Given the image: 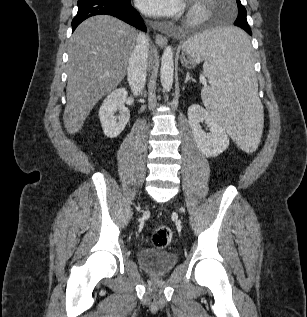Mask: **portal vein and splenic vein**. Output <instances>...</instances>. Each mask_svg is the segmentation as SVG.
Returning a JSON list of instances; mask_svg holds the SVG:
<instances>
[{
	"mask_svg": "<svg viewBox=\"0 0 307 317\" xmlns=\"http://www.w3.org/2000/svg\"><path fill=\"white\" fill-rule=\"evenodd\" d=\"M202 84L206 85V82H205V81H202Z\"/></svg>",
	"mask_w": 307,
	"mask_h": 317,
	"instance_id": "portal-vein-and-splenic-vein-1",
	"label": "portal vein and splenic vein"
}]
</instances>
